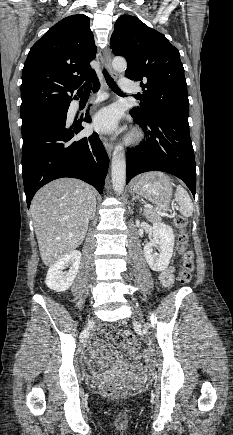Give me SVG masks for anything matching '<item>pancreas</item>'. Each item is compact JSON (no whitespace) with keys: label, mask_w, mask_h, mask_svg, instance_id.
<instances>
[{"label":"pancreas","mask_w":233,"mask_h":435,"mask_svg":"<svg viewBox=\"0 0 233 435\" xmlns=\"http://www.w3.org/2000/svg\"><path fill=\"white\" fill-rule=\"evenodd\" d=\"M144 212L147 218L151 220H160V215L155 210L146 208Z\"/></svg>","instance_id":"1"}]
</instances>
